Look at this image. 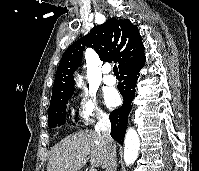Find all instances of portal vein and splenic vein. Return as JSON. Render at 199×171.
Masks as SVG:
<instances>
[{"mask_svg":"<svg viewBox=\"0 0 199 171\" xmlns=\"http://www.w3.org/2000/svg\"><path fill=\"white\" fill-rule=\"evenodd\" d=\"M90 171H97V170L93 168V169H91Z\"/></svg>","mask_w":199,"mask_h":171,"instance_id":"1","label":"portal vein and splenic vein"}]
</instances>
